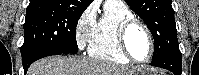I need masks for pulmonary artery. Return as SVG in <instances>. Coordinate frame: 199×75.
I'll list each match as a JSON object with an SVG mask.
<instances>
[{
	"label": "pulmonary artery",
	"instance_id": "e3ab8cb5",
	"mask_svg": "<svg viewBox=\"0 0 199 75\" xmlns=\"http://www.w3.org/2000/svg\"><path fill=\"white\" fill-rule=\"evenodd\" d=\"M105 6H125L124 1L108 0L105 2Z\"/></svg>",
	"mask_w": 199,
	"mask_h": 75
}]
</instances>
